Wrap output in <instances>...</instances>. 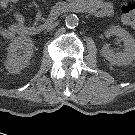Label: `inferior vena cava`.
Instances as JSON below:
<instances>
[{
  "instance_id": "inferior-vena-cava-1",
  "label": "inferior vena cava",
  "mask_w": 135,
  "mask_h": 135,
  "mask_svg": "<svg viewBox=\"0 0 135 135\" xmlns=\"http://www.w3.org/2000/svg\"><path fill=\"white\" fill-rule=\"evenodd\" d=\"M57 24H58L57 22H54V23L49 24L47 26V30H51V29L55 28L57 26Z\"/></svg>"
}]
</instances>
